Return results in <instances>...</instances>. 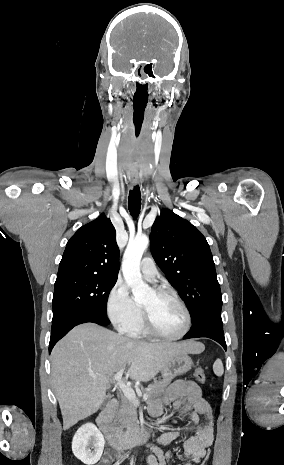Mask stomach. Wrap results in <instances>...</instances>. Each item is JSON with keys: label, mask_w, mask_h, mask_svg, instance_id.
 <instances>
[{"label": "stomach", "mask_w": 284, "mask_h": 465, "mask_svg": "<svg viewBox=\"0 0 284 465\" xmlns=\"http://www.w3.org/2000/svg\"><path fill=\"white\" fill-rule=\"evenodd\" d=\"M193 367V361L188 353H178L166 367L162 369V375H182Z\"/></svg>", "instance_id": "1"}]
</instances>
